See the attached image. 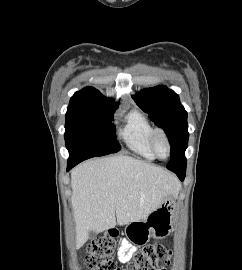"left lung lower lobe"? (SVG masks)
<instances>
[{
  "mask_svg": "<svg viewBox=\"0 0 242 270\" xmlns=\"http://www.w3.org/2000/svg\"><path fill=\"white\" fill-rule=\"evenodd\" d=\"M176 174H177V176L179 177V179H180L181 181L184 180V178H185V173H176Z\"/></svg>",
  "mask_w": 242,
  "mask_h": 270,
  "instance_id": "left-lung-lower-lobe-1",
  "label": "left lung lower lobe"
}]
</instances>
